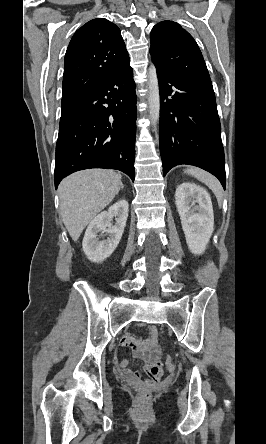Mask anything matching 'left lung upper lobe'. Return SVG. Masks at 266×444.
Instances as JSON below:
<instances>
[{
    "label": "left lung upper lobe",
    "mask_w": 266,
    "mask_h": 444,
    "mask_svg": "<svg viewBox=\"0 0 266 444\" xmlns=\"http://www.w3.org/2000/svg\"><path fill=\"white\" fill-rule=\"evenodd\" d=\"M150 42L155 64L179 77L210 79L196 41L178 23L163 21L155 25Z\"/></svg>",
    "instance_id": "left-lung-upper-lobe-1"
}]
</instances>
